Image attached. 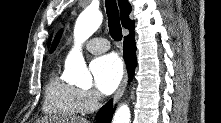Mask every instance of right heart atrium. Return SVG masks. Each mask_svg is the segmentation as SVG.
<instances>
[{
  "label": "right heart atrium",
  "mask_w": 221,
  "mask_h": 123,
  "mask_svg": "<svg viewBox=\"0 0 221 123\" xmlns=\"http://www.w3.org/2000/svg\"><path fill=\"white\" fill-rule=\"evenodd\" d=\"M78 96L83 113L91 112L99 105L100 96L94 90L79 89Z\"/></svg>",
  "instance_id": "1"
}]
</instances>
